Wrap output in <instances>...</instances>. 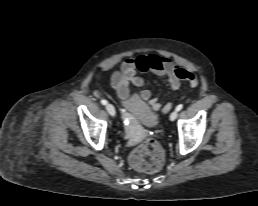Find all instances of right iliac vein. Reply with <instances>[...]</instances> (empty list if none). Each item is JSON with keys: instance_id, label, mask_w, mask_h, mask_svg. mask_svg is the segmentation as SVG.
<instances>
[{"instance_id": "63e3f726", "label": "right iliac vein", "mask_w": 258, "mask_h": 206, "mask_svg": "<svg viewBox=\"0 0 258 206\" xmlns=\"http://www.w3.org/2000/svg\"><path fill=\"white\" fill-rule=\"evenodd\" d=\"M106 110L107 112L111 115V116H115L116 115V111H115V108L112 104H107L106 105Z\"/></svg>"}]
</instances>
